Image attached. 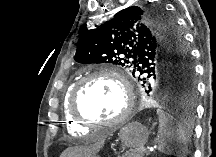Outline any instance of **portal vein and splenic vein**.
I'll return each instance as SVG.
<instances>
[{
  "label": "portal vein and splenic vein",
  "mask_w": 216,
  "mask_h": 157,
  "mask_svg": "<svg viewBox=\"0 0 216 157\" xmlns=\"http://www.w3.org/2000/svg\"><path fill=\"white\" fill-rule=\"evenodd\" d=\"M153 148L152 147H147L146 150L147 152L151 151Z\"/></svg>",
  "instance_id": "portal-vein-and-splenic-vein-1"
}]
</instances>
